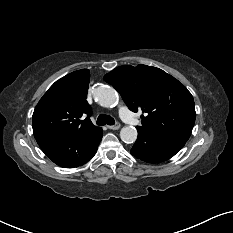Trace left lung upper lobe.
I'll list each match as a JSON object with an SVG mask.
<instances>
[{"instance_id": "left-lung-upper-lobe-1", "label": "left lung upper lobe", "mask_w": 233, "mask_h": 233, "mask_svg": "<svg viewBox=\"0 0 233 233\" xmlns=\"http://www.w3.org/2000/svg\"><path fill=\"white\" fill-rule=\"evenodd\" d=\"M128 107L142 111V126L151 134L187 141L195 123L194 99L187 88L163 70L138 65L115 68L104 76Z\"/></svg>"}]
</instances>
